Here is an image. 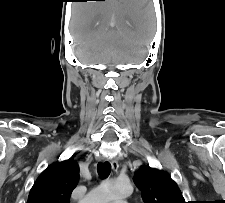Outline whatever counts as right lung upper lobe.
<instances>
[{
    "label": "right lung upper lobe",
    "instance_id": "obj_1",
    "mask_svg": "<svg viewBox=\"0 0 225 203\" xmlns=\"http://www.w3.org/2000/svg\"><path fill=\"white\" fill-rule=\"evenodd\" d=\"M79 180V166L71 158L47 167L30 190L27 203H69Z\"/></svg>",
    "mask_w": 225,
    "mask_h": 203
}]
</instances>
